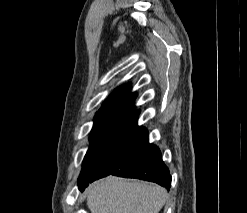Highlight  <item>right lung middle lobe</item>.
I'll use <instances>...</instances> for the list:
<instances>
[{"instance_id": "1", "label": "right lung middle lobe", "mask_w": 247, "mask_h": 213, "mask_svg": "<svg viewBox=\"0 0 247 213\" xmlns=\"http://www.w3.org/2000/svg\"><path fill=\"white\" fill-rule=\"evenodd\" d=\"M131 109L115 110L95 118L90 135V147L85 155L78 187L84 186L99 174V161L105 157L121 134Z\"/></svg>"}]
</instances>
